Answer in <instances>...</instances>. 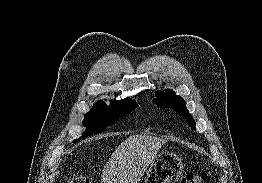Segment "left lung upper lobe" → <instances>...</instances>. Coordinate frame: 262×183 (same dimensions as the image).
I'll use <instances>...</instances> for the list:
<instances>
[{"mask_svg": "<svg viewBox=\"0 0 262 183\" xmlns=\"http://www.w3.org/2000/svg\"><path fill=\"white\" fill-rule=\"evenodd\" d=\"M155 96L156 99L153 101L157 104L158 107L171 108L175 110L179 115L187 120L190 127L195 128V121L188 112L185 101L182 97L176 96L174 91L170 89H167L165 92L157 91Z\"/></svg>", "mask_w": 262, "mask_h": 183, "instance_id": "left-lung-upper-lobe-1", "label": "left lung upper lobe"}]
</instances>
